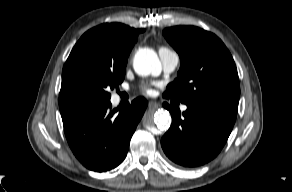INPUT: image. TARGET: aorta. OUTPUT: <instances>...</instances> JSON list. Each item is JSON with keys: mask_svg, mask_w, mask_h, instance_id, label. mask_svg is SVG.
Returning a JSON list of instances; mask_svg holds the SVG:
<instances>
[{"mask_svg": "<svg viewBox=\"0 0 292 192\" xmlns=\"http://www.w3.org/2000/svg\"><path fill=\"white\" fill-rule=\"evenodd\" d=\"M134 70L141 76L158 74L161 71V64L157 54L151 49H142L134 57ZM171 124V116L167 110L159 109L151 118L144 119V125L149 130L160 131L168 129Z\"/></svg>", "mask_w": 292, "mask_h": 192, "instance_id": "aorta-1", "label": "aorta"}]
</instances>
